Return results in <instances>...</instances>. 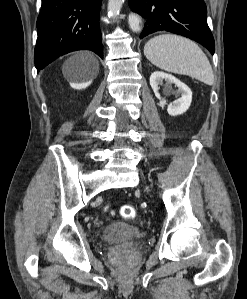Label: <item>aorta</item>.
<instances>
[{"instance_id":"aorta-1","label":"aorta","mask_w":247,"mask_h":299,"mask_svg":"<svg viewBox=\"0 0 247 299\" xmlns=\"http://www.w3.org/2000/svg\"><path fill=\"white\" fill-rule=\"evenodd\" d=\"M124 0H109L108 1V14L111 17H116L123 5Z\"/></svg>"}]
</instances>
